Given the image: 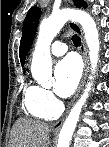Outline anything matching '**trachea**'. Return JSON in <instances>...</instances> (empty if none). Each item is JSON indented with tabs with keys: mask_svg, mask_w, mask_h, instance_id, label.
Instances as JSON below:
<instances>
[{
	"mask_svg": "<svg viewBox=\"0 0 109 147\" xmlns=\"http://www.w3.org/2000/svg\"><path fill=\"white\" fill-rule=\"evenodd\" d=\"M72 41L75 45H80L81 44V38L78 35H73L72 36Z\"/></svg>",
	"mask_w": 109,
	"mask_h": 147,
	"instance_id": "obj_1",
	"label": "trachea"
}]
</instances>
